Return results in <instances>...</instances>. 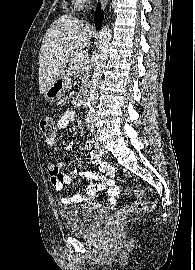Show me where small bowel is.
<instances>
[{"label": "small bowel", "mask_w": 195, "mask_h": 270, "mask_svg": "<svg viewBox=\"0 0 195 270\" xmlns=\"http://www.w3.org/2000/svg\"><path fill=\"white\" fill-rule=\"evenodd\" d=\"M76 119V113L74 111H66L62 114L57 122V129L61 130L66 128L71 122ZM46 143L49 146H55L57 143V137L55 134L48 137ZM74 144L70 143L68 148ZM89 153L91 162L95 165L101 173L96 172H83L80 174L81 178L97 180L95 183H88L83 194L74 193L72 195L64 194L62 196L63 204H74L80 202L93 203L95 200V194L98 191L107 190L108 201L107 205L113 207L116 204L117 199L120 195V188L115 184L114 178L116 176V170L106 161L102 160L99 155L92 149L90 145L86 146ZM59 156L56 154L54 160ZM65 164L63 162H51L48 165V172L50 175V181L53 188L56 191H63L64 186L70 184L74 173H65L63 169ZM108 177V178H106Z\"/></svg>", "instance_id": "c3829d8e"}]
</instances>
